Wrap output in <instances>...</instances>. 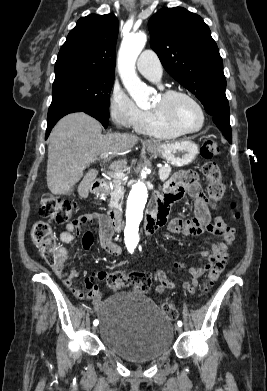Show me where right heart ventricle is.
<instances>
[{"mask_svg": "<svg viewBox=\"0 0 267 391\" xmlns=\"http://www.w3.org/2000/svg\"><path fill=\"white\" fill-rule=\"evenodd\" d=\"M136 130L140 133L163 139L175 138L181 135V133L158 121L152 110L146 111L144 121Z\"/></svg>", "mask_w": 267, "mask_h": 391, "instance_id": "e07e8e85", "label": "right heart ventricle"}]
</instances>
